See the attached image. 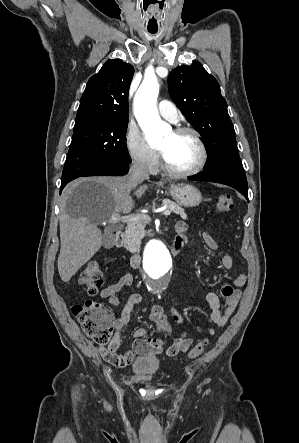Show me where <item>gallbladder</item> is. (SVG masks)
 I'll list each match as a JSON object with an SVG mask.
<instances>
[{
  "instance_id": "bac80fb5",
  "label": "gallbladder",
  "mask_w": 299,
  "mask_h": 443,
  "mask_svg": "<svg viewBox=\"0 0 299 443\" xmlns=\"http://www.w3.org/2000/svg\"><path fill=\"white\" fill-rule=\"evenodd\" d=\"M112 240H113V236L111 234H104L103 235V246L105 248H109Z\"/></svg>"
}]
</instances>
